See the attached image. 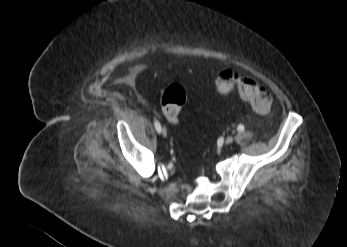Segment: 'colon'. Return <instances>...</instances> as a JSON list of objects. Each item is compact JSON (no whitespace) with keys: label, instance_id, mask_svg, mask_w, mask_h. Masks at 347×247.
Returning a JSON list of instances; mask_svg holds the SVG:
<instances>
[{"label":"colon","instance_id":"colon-1","mask_svg":"<svg viewBox=\"0 0 347 247\" xmlns=\"http://www.w3.org/2000/svg\"><path fill=\"white\" fill-rule=\"evenodd\" d=\"M215 87L217 92L222 95H228L235 89L238 90L257 113H267L271 108L272 97L266 88L257 85L250 78L238 75L232 70L221 71L216 77ZM186 99L187 92L179 84L168 86L162 93L161 110L171 124H178L179 115Z\"/></svg>","mask_w":347,"mask_h":247}]
</instances>
